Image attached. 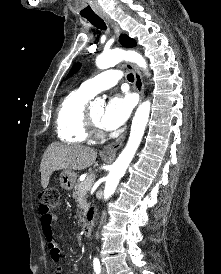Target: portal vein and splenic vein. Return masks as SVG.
Listing matches in <instances>:
<instances>
[{"instance_id":"portal-vein-and-splenic-vein-1","label":"portal vein and splenic vein","mask_w":221,"mask_h":274,"mask_svg":"<svg viewBox=\"0 0 221 274\" xmlns=\"http://www.w3.org/2000/svg\"><path fill=\"white\" fill-rule=\"evenodd\" d=\"M92 186V179H87V184L84 186L85 190H89Z\"/></svg>"}]
</instances>
